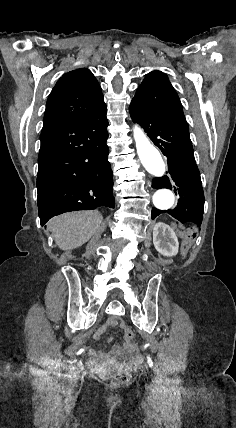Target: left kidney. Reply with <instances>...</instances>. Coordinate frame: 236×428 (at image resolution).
I'll return each instance as SVG.
<instances>
[{
  "mask_svg": "<svg viewBox=\"0 0 236 428\" xmlns=\"http://www.w3.org/2000/svg\"><path fill=\"white\" fill-rule=\"evenodd\" d=\"M153 244L157 252L163 254V256H176L178 254L177 236L174 230L167 224H163V222H158L154 226Z\"/></svg>",
  "mask_w": 236,
  "mask_h": 428,
  "instance_id": "obj_1",
  "label": "left kidney"
}]
</instances>
